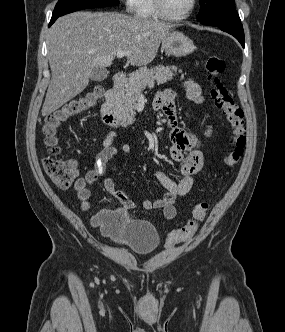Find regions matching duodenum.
Wrapping results in <instances>:
<instances>
[{
	"mask_svg": "<svg viewBox=\"0 0 285 332\" xmlns=\"http://www.w3.org/2000/svg\"><path fill=\"white\" fill-rule=\"evenodd\" d=\"M126 83V75L117 73L112 82V86L105 93V101L101 106V117L103 122L113 128L120 126V119L116 108L117 99Z\"/></svg>",
	"mask_w": 285,
	"mask_h": 332,
	"instance_id": "obj_1",
	"label": "duodenum"
}]
</instances>
